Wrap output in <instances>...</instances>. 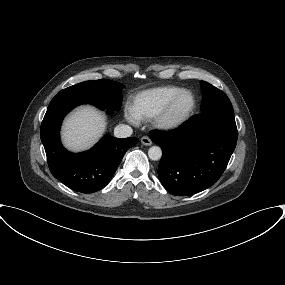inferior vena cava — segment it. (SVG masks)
<instances>
[{
	"mask_svg": "<svg viewBox=\"0 0 285 285\" xmlns=\"http://www.w3.org/2000/svg\"><path fill=\"white\" fill-rule=\"evenodd\" d=\"M132 133V128L125 124H119L114 129V136L117 138H127L130 137Z\"/></svg>",
	"mask_w": 285,
	"mask_h": 285,
	"instance_id": "inferior-vena-cava-1",
	"label": "inferior vena cava"
}]
</instances>
